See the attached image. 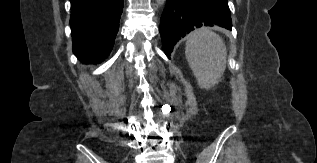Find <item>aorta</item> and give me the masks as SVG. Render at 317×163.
Listing matches in <instances>:
<instances>
[{
	"instance_id": "1",
	"label": "aorta",
	"mask_w": 317,
	"mask_h": 163,
	"mask_svg": "<svg viewBox=\"0 0 317 163\" xmlns=\"http://www.w3.org/2000/svg\"><path fill=\"white\" fill-rule=\"evenodd\" d=\"M155 1H156L157 5L160 7L164 6L166 3V0H155Z\"/></svg>"
}]
</instances>
